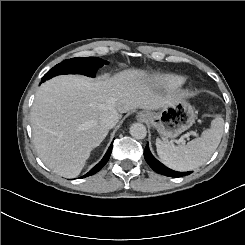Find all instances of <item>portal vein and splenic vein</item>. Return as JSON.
<instances>
[{"mask_svg": "<svg viewBox=\"0 0 245 245\" xmlns=\"http://www.w3.org/2000/svg\"><path fill=\"white\" fill-rule=\"evenodd\" d=\"M190 135L197 136V133L194 132V131H190V132L187 133V136H190ZM182 141H183V138H182Z\"/></svg>", "mask_w": 245, "mask_h": 245, "instance_id": "18ae733b", "label": "portal vein and splenic vein"}]
</instances>
